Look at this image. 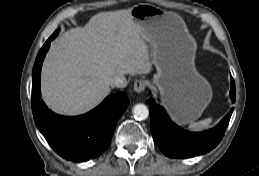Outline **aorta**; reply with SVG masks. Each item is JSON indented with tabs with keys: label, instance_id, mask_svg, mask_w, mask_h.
Returning <instances> with one entry per match:
<instances>
[{
	"label": "aorta",
	"instance_id": "obj_1",
	"mask_svg": "<svg viewBox=\"0 0 259 176\" xmlns=\"http://www.w3.org/2000/svg\"><path fill=\"white\" fill-rule=\"evenodd\" d=\"M133 114L137 120H145L149 116V110L144 104H136L133 107Z\"/></svg>",
	"mask_w": 259,
	"mask_h": 176
}]
</instances>
